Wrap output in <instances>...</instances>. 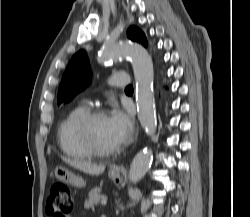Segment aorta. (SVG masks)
Returning <instances> with one entry per match:
<instances>
[{"mask_svg":"<svg viewBox=\"0 0 250 217\" xmlns=\"http://www.w3.org/2000/svg\"><path fill=\"white\" fill-rule=\"evenodd\" d=\"M129 57L136 80V102L138 119L149 136H154L157 128L156 111L153 100L154 70L147 50L136 43H115L105 46L100 54L102 62ZM153 158L151 149L140 151L130 165L129 179L139 182L149 170Z\"/></svg>","mask_w":250,"mask_h":217,"instance_id":"762f6f07","label":"aorta"}]
</instances>
